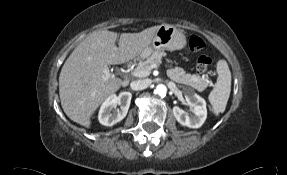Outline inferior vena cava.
<instances>
[{"label": "inferior vena cava", "mask_w": 287, "mask_h": 175, "mask_svg": "<svg viewBox=\"0 0 287 175\" xmlns=\"http://www.w3.org/2000/svg\"><path fill=\"white\" fill-rule=\"evenodd\" d=\"M151 84V81L149 79H144V80H137L131 82V88L134 90H144L149 87Z\"/></svg>", "instance_id": "inferior-vena-cava-1"}]
</instances>
